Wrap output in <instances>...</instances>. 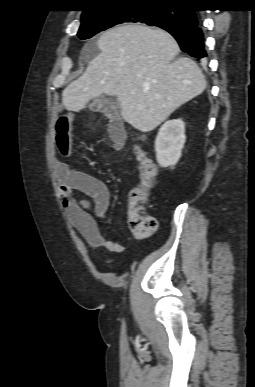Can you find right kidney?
Here are the masks:
<instances>
[{
	"label": "right kidney",
	"instance_id": "1",
	"mask_svg": "<svg viewBox=\"0 0 255 387\" xmlns=\"http://www.w3.org/2000/svg\"><path fill=\"white\" fill-rule=\"evenodd\" d=\"M186 141L185 123L181 119L166 121L155 140L156 160L160 167L174 166L182 155Z\"/></svg>",
	"mask_w": 255,
	"mask_h": 387
}]
</instances>
